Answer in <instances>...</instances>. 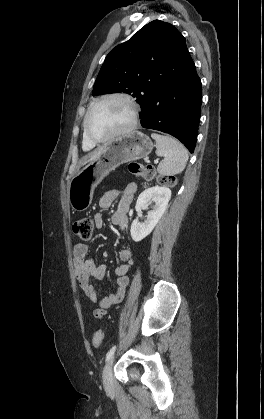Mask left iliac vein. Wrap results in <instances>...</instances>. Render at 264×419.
<instances>
[{
    "instance_id": "left-iliac-vein-1",
    "label": "left iliac vein",
    "mask_w": 264,
    "mask_h": 419,
    "mask_svg": "<svg viewBox=\"0 0 264 419\" xmlns=\"http://www.w3.org/2000/svg\"><path fill=\"white\" fill-rule=\"evenodd\" d=\"M113 361H114V357H111L108 360L103 370V384L106 390H110L113 387V372H112Z\"/></svg>"
}]
</instances>
